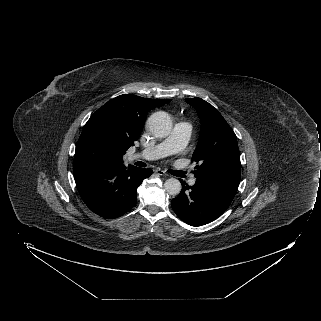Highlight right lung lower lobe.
<instances>
[{
  "instance_id": "right-lung-lower-lobe-1",
  "label": "right lung lower lobe",
  "mask_w": 321,
  "mask_h": 321,
  "mask_svg": "<svg viewBox=\"0 0 321 321\" xmlns=\"http://www.w3.org/2000/svg\"><path fill=\"white\" fill-rule=\"evenodd\" d=\"M151 169L113 165L74 174L77 189L88 208L97 215L112 219L119 217L136 202V190Z\"/></svg>"
}]
</instances>
